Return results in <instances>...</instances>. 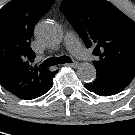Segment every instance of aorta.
I'll return each mask as SVG.
<instances>
[{
	"mask_svg": "<svg viewBox=\"0 0 135 135\" xmlns=\"http://www.w3.org/2000/svg\"><path fill=\"white\" fill-rule=\"evenodd\" d=\"M37 37L47 45L57 46L63 40L61 27L54 22H41L36 29ZM78 77L84 82H91L96 77V69L90 63H83L77 70Z\"/></svg>",
	"mask_w": 135,
	"mask_h": 135,
	"instance_id": "aorta-1",
	"label": "aorta"
}]
</instances>
